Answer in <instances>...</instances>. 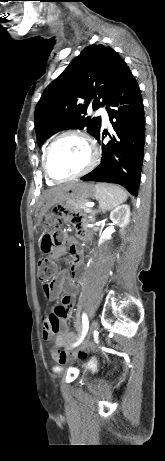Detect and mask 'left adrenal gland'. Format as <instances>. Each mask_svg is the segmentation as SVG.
<instances>
[{"label": "left adrenal gland", "instance_id": "obj_1", "mask_svg": "<svg viewBox=\"0 0 165 461\" xmlns=\"http://www.w3.org/2000/svg\"><path fill=\"white\" fill-rule=\"evenodd\" d=\"M100 212H101V210H93V211L91 212V214H90V217H89V218H90V221H91V222H94V221H95V216H96V214H97V213H100Z\"/></svg>", "mask_w": 165, "mask_h": 461}]
</instances>
